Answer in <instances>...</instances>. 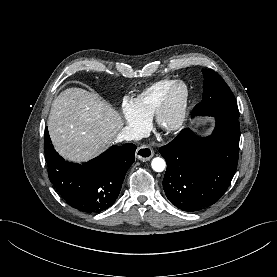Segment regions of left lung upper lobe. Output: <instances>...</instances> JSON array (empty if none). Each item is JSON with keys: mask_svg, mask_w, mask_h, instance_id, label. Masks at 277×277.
Wrapping results in <instances>:
<instances>
[{"mask_svg": "<svg viewBox=\"0 0 277 277\" xmlns=\"http://www.w3.org/2000/svg\"><path fill=\"white\" fill-rule=\"evenodd\" d=\"M203 99L195 106L192 116H227L239 118L234 95L223 78L212 70L203 69Z\"/></svg>", "mask_w": 277, "mask_h": 277, "instance_id": "left-lung-upper-lobe-1", "label": "left lung upper lobe"}]
</instances>
